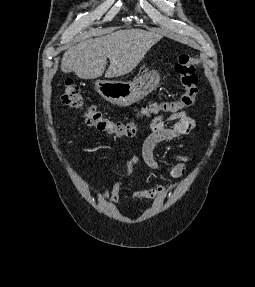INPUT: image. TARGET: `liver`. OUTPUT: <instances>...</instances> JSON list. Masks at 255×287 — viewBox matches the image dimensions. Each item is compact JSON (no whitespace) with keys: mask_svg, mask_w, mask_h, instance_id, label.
<instances>
[{"mask_svg":"<svg viewBox=\"0 0 255 287\" xmlns=\"http://www.w3.org/2000/svg\"><path fill=\"white\" fill-rule=\"evenodd\" d=\"M163 36L146 30H119L99 38H81L65 52L62 66L69 68L81 80L100 78L105 72L107 58L110 66L105 78H118L130 74L148 50Z\"/></svg>","mask_w":255,"mask_h":287,"instance_id":"obj_1","label":"liver"}]
</instances>
